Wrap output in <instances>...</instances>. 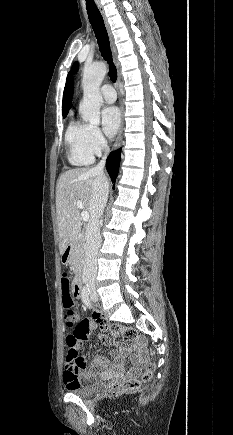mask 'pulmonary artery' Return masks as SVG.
Listing matches in <instances>:
<instances>
[{
	"label": "pulmonary artery",
	"mask_w": 233,
	"mask_h": 435,
	"mask_svg": "<svg viewBox=\"0 0 233 435\" xmlns=\"http://www.w3.org/2000/svg\"><path fill=\"white\" fill-rule=\"evenodd\" d=\"M101 96L108 103H113L116 100L115 90L111 85H103L100 89Z\"/></svg>",
	"instance_id": "pulmonary-artery-1"
}]
</instances>
